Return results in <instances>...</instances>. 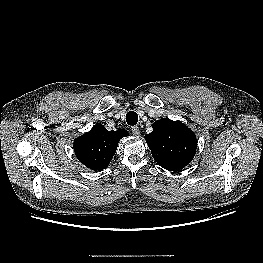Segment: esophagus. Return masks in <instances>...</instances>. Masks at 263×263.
Instances as JSON below:
<instances>
[{
    "label": "esophagus",
    "mask_w": 263,
    "mask_h": 263,
    "mask_svg": "<svg viewBox=\"0 0 263 263\" xmlns=\"http://www.w3.org/2000/svg\"><path fill=\"white\" fill-rule=\"evenodd\" d=\"M131 131H132V134L135 135V136H138L140 134V130H139L138 126H133L131 128Z\"/></svg>",
    "instance_id": "1"
}]
</instances>
